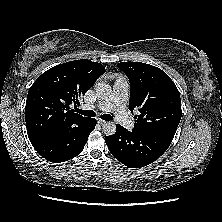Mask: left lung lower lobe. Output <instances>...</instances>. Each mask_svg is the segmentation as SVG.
Segmentation results:
<instances>
[{"instance_id": "obj_1", "label": "left lung lower lobe", "mask_w": 222, "mask_h": 222, "mask_svg": "<svg viewBox=\"0 0 222 222\" xmlns=\"http://www.w3.org/2000/svg\"><path fill=\"white\" fill-rule=\"evenodd\" d=\"M116 133L106 136L105 142L111 154L124 165L141 168L156 161L171 144L174 134L161 131L129 132L117 124Z\"/></svg>"}]
</instances>
